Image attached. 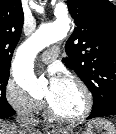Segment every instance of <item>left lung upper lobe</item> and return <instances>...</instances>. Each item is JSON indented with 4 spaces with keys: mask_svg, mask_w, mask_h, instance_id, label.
I'll list each match as a JSON object with an SVG mask.
<instances>
[{
    "mask_svg": "<svg viewBox=\"0 0 116 134\" xmlns=\"http://www.w3.org/2000/svg\"><path fill=\"white\" fill-rule=\"evenodd\" d=\"M76 23L62 59L86 84L93 107L116 104V6L108 0H67Z\"/></svg>",
    "mask_w": 116,
    "mask_h": 134,
    "instance_id": "left-lung-upper-lobe-1",
    "label": "left lung upper lobe"
}]
</instances>
